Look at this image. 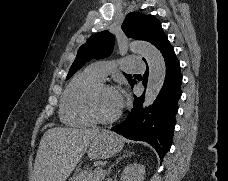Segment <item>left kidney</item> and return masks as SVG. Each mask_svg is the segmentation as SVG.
<instances>
[{"mask_svg":"<svg viewBox=\"0 0 228 181\" xmlns=\"http://www.w3.org/2000/svg\"><path fill=\"white\" fill-rule=\"evenodd\" d=\"M145 167L144 165H128L123 169V173L120 177V181H144Z\"/></svg>","mask_w":228,"mask_h":181,"instance_id":"1","label":"left kidney"}]
</instances>
